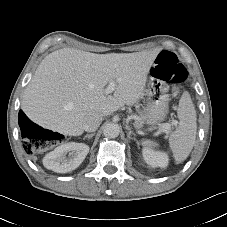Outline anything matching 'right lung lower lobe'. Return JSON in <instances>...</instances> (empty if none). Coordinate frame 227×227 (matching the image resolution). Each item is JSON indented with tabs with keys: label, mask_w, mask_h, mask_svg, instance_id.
Instances as JSON below:
<instances>
[{
	"label": "right lung lower lobe",
	"mask_w": 227,
	"mask_h": 227,
	"mask_svg": "<svg viewBox=\"0 0 227 227\" xmlns=\"http://www.w3.org/2000/svg\"><path fill=\"white\" fill-rule=\"evenodd\" d=\"M33 124L28 118L27 116L23 113V111H19V125L21 128V131L23 132L25 130V128L30 125Z\"/></svg>",
	"instance_id": "obj_1"
}]
</instances>
